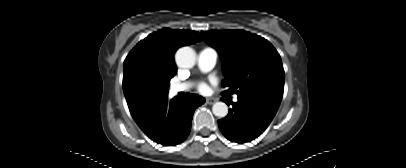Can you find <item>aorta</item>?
Listing matches in <instances>:
<instances>
[{"label":"aorta","mask_w":406,"mask_h":168,"mask_svg":"<svg viewBox=\"0 0 406 168\" xmlns=\"http://www.w3.org/2000/svg\"><path fill=\"white\" fill-rule=\"evenodd\" d=\"M175 61L180 68H192L196 62V53L190 47H182L176 52ZM212 111L215 116L223 118L228 114V106L224 102H216Z\"/></svg>","instance_id":"762f6f07"}]
</instances>
